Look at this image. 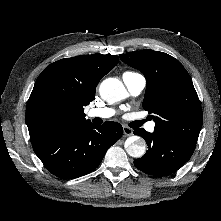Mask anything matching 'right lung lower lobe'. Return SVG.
<instances>
[{"label":"right lung lower lobe","mask_w":221,"mask_h":221,"mask_svg":"<svg viewBox=\"0 0 221 221\" xmlns=\"http://www.w3.org/2000/svg\"><path fill=\"white\" fill-rule=\"evenodd\" d=\"M122 134L123 128L117 122L96 126L87 121L52 129L31 142L36 155L52 174L72 179L93 171Z\"/></svg>","instance_id":"1"}]
</instances>
